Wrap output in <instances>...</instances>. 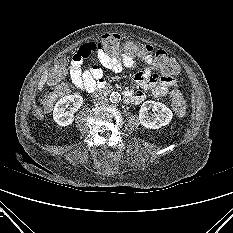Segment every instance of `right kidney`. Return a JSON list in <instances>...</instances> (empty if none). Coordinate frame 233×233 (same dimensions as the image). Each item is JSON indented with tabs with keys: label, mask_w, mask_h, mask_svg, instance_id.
Instances as JSON below:
<instances>
[{
	"label": "right kidney",
	"mask_w": 233,
	"mask_h": 233,
	"mask_svg": "<svg viewBox=\"0 0 233 233\" xmlns=\"http://www.w3.org/2000/svg\"><path fill=\"white\" fill-rule=\"evenodd\" d=\"M83 98L80 95H68L61 98L55 105L53 119L60 126H68L74 120V113L80 108ZM70 105L73 107L66 110Z\"/></svg>",
	"instance_id": "right-kidney-1"
}]
</instances>
